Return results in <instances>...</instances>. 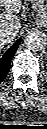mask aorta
Here are the masks:
<instances>
[{
	"mask_svg": "<svg viewBox=\"0 0 47 129\" xmlns=\"http://www.w3.org/2000/svg\"><path fill=\"white\" fill-rule=\"evenodd\" d=\"M24 46L31 51H40L46 47V38L40 32H30L24 38Z\"/></svg>",
	"mask_w": 47,
	"mask_h": 129,
	"instance_id": "aorta-1",
	"label": "aorta"
}]
</instances>
